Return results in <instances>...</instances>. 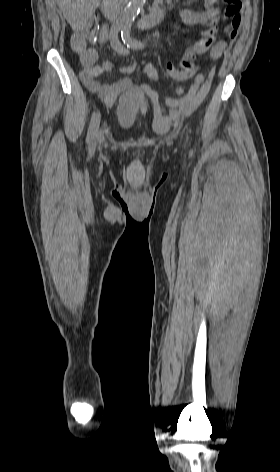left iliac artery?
<instances>
[{
	"label": "left iliac artery",
	"instance_id": "obj_1",
	"mask_svg": "<svg viewBox=\"0 0 280 472\" xmlns=\"http://www.w3.org/2000/svg\"><path fill=\"white\" fill-rule=\"evenodd\" d=\"M121 37L123 42L131 48L140 49L143 47V44L140 41L133 39L130 36V27L124 26L121 30Z\"/></svg>",
	"mask_w": 280,
	"mask_h": 472
}]
</instances>
